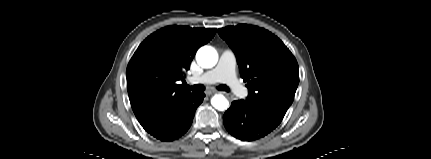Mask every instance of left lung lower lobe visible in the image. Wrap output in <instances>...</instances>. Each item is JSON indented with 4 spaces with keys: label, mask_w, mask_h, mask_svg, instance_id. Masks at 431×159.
<instances>
[{
    "label": "left lung lower lobe",
    "mask_w": 431,
    "mask_h": 159,
    "mask_svg": "<svg viewBox=\"0 0 431 159\" xmlns=\"http://www.w3.org/2000/svg\"><path fill=\"white\" fill-rule=\"evenodd\" d=\"M283 117L271 110L249 105L245 100H237L223 115V123L232 136L252 141L274 130Z\"/></svg>",
    "instance_id": "obj_1"
}]
</instances>
